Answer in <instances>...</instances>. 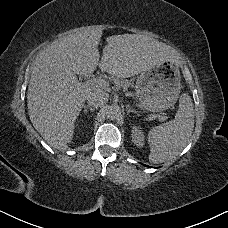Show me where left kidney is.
<instances>
[{
  "mask_svg": "<svg viewBox=\"0 0 228 228\" xmlns=\"http://www.w3.org/2000/svg\"><path fill=\"white\" fill-rule=\"evenodd\" d=\"M132 140H133L135 145H137L138 147H142V145L144 143V137H143L142 132L139 129L133 128Z\"/></svg>",
  "mask_w": 228,
  "mask_h": 228,
  "instance_id": "1",
  "label": "left kidney"
}]
</instances>
